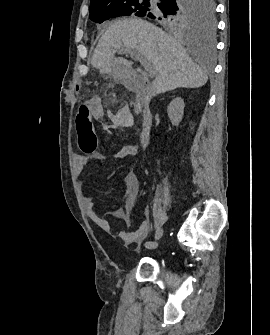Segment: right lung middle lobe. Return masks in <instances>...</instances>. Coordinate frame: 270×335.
Returning a JSON list of instances; mask_svg holds the SVG:
<instances>
[{"instance_id": "dd1d6c3e", "label": "right lung middle lobe", "mask_w": 270, "mask_h": 335, "mask_svg": "<svg viewBox=\"0 0 270 335\" xmlns=\"http://www.w3.org/2000/svg\"><path fill=\"white\" fill-rule=\"evenodd\" d=\"M157 6L150 0H111L101 6L90 7L89 18L93 22L136 15L147 16L161 25L172 29H184L205 24L209 29L215 26L214 0H160Z\"/></svg>"}]
</instances>
